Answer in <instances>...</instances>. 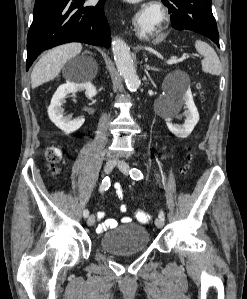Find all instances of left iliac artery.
I'll return each mask as SVG.
<instances>
[{
    "label": "left iliac artery",
    "mask_w": 247,
    "mask_h": 299,
    "mask_svg": "<svg viewBox=\"0 0 247 299\" xmlns=\"http://www.w3.org/2000/svg\"><path fill=\"white\" fill-rule=\"evenodd\" d=\"M129 173L131 178L134 180H140L143 178L142 172L137 168L131 169ZM159 218L162 219L163 221L165 220V214L162 210L159 212Z\"/></svg>",
    "instance_id": "1"
}]
</instances>
